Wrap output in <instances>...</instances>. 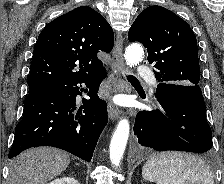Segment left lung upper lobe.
I'll use <instances>...</instances> for the list:
<instances>
[{"mask_svg":"<svg viewBox=\"0 0 224 184\" xmlns=\"http://www.w3.org/2000/svg\"><path fill=\"white\" fill-rule=\"evenodd\" d=\"M128 38L146 47L158 82L199 84L196 37L190 26L172 11L161 6L146 8L132 24Z\"/></svg>","mask_w":224,"mask_h":184,"instance_id":"obj_1","label":"left lung upper lobe"}]
</instances>
